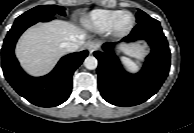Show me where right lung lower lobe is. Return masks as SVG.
<instances>
[{"label": "right lung lower lobe", "instance_id": "right-lung-lower-lobe-1", "mask_svg": "<svg viewBox=\"0 0 194 133\" xmlns=\"http://www.w3.org/2000/svg\"><path fill=\"white\" fill-rule=\"evenodd\" d=\"M52 19L53 16L16 20L2 46V69L5 78L19 95L40 107L58 106L68 99L72 90V75L88 55L87 51L68 54L61 58L48 75L28 76L14 55L15 44L28 27Z\"/></svg>", "mask_w": 194, "mask_h": 133}]
</instances>
